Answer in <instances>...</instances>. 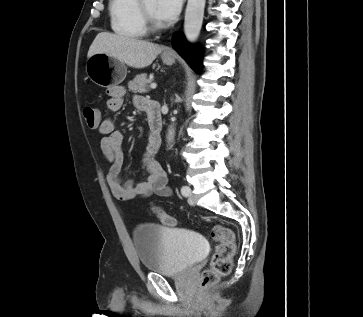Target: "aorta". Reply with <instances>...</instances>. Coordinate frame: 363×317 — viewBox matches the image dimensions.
Instances as JSON below:
<instances>
[{
  "instance_id": "1",
  "label": "aorta",
  "mask_w": 363,
  "mask_h": 317,
  "mask_svg": "<svg viewBox=\"0 0 363 317\" xmlns=\"http://www.w3.org/2000/svg\"><path fill=\"white\" fill-rule=\"evenodd\" d=\"M205 3L206 0H188L187 2L184 33L186 39L191 43L195 42L199 37L203 23ZM174 132L173 128L169 129L167 136L168 142L173 141Z\"/></svg>"
}]
</instances>
